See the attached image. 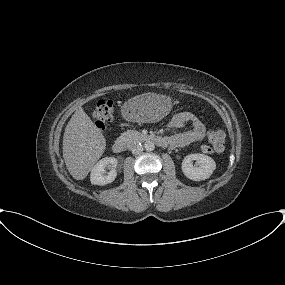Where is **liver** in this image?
Wrapping results in <instances>:
<instances>
[{"instance_id":"liver-1","label":"liver","mask_w":285,"mask_h":285,"mask_svg":"<svg viewBox=\"0 0 285 285\" xmlns=\"http://www.w3.org/2000/svg\"><path fill=\"white\" fill-rule=\"evenodd\" d=\"M106 140L82 107L68 122L63 136V158L66 167L76 180L86 178L102 156Z\"/></svg>"}]
</instances>
